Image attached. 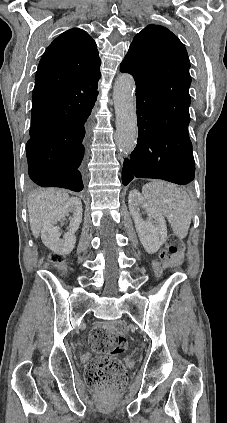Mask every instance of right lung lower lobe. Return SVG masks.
I'll return each mask as SVG.
<instances>
[{"mask_svg": "<svg viewBox=\"0 0 227 423\" xmlns=\"http://www.w3.org/2000/svg\"><path fill=\"white\" fill-rule=\"evenodd\" d=\"M96 97L80 96L67 101L32 102L31 124L56 121L58 126L26 145L28 173L41 187H61L79 192L87 160V119Z\"/></svg>", "mask_w": 227, "mask_h": 423, "instance_id": "98d812e1", "label": "right lung lower lobe"}]
</instances>
